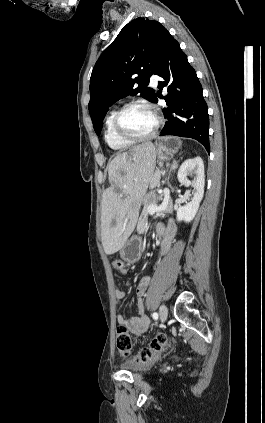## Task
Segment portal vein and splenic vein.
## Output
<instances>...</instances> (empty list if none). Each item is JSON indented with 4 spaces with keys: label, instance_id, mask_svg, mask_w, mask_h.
I'll return each mask as SVG.
<instances>
[{
    "label": "portal vein and splenic vein",
    "instance_id": "1",
    "mask_svg": "<svg viewBox=\"0 0 265 423\" xmlns=\"http://www.w3.org/2000/svg\"><path fill=\"white\" fill-rule=\"evenodd\" d=\"M164 199L160 205H150L148 207L149 214L160 213L165 210L170 200V190L168 188L164 189Z\"/></svg>",
    "mask_w": 265,
    "mask_h": 423
}]
</instances>
